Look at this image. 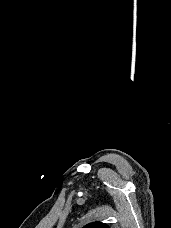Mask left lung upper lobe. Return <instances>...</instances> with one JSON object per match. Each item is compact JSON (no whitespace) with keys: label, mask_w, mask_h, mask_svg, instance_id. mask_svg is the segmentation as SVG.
I'll use <instances>...</instances> for the list:
<instances>
[{"label":"left lung upper lobe","mask_w":171,"mask_h":228,"mask_svg":"<svg viewBox=\"0 0 171 228\" xmlns=\"http://www.w3.org/2000/svg\"><path fill=\"white\" fill-rule=\"evenodd\" d=\"M84 228H109V226L102 222H93L86 225Z\"/></svg>","instance_id":"1"}]
</instances>
